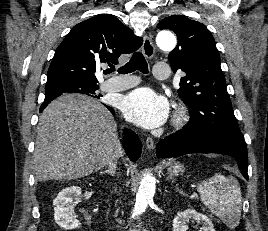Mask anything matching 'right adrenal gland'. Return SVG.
<instances>
[{
	"instance_id": "2a0ac1e0",
	"label": "right adrenal gland",
	"mask_w": 268,
	"mask_h": 231,
	"mask_svg": "<svg viewBox=\"0 0 268 231\" xmlns=\"http://www.w3.org/2000/svg\"><path fill=\"white\" fill-rule=\"evenodd\" d=\"M117 170V164L112 163L108 166V169H106L105 171H101L100 174H109L110 176L114 177L115 176V172Z\"/></svg>"
}]
</instances>
